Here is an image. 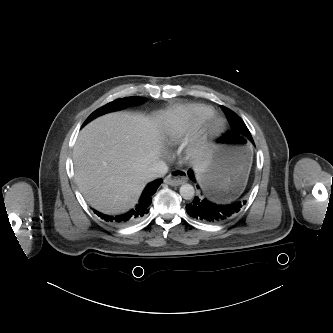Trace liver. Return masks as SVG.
I'll return each instance as SVG.
<instances>
[{"label": "liver", "instance_id": "liver-1", "mask_svg": "<svg viewBox=\"0 0 333 333\" xmlns=\"http://www.w3.org/2000/svg\"><path fill=\"white\" fill-rule=\"evenodd\" d=\"M162 148L155 120L126 112L104 115L78 135L73 150L75 181L93 208L106 214L124 212L137 203L148 182L145 172ZM192 164L198 175L206 159L195 155Z\"/></svg>", "mask_w": 333, "mask_h": 333}]
</instances>
